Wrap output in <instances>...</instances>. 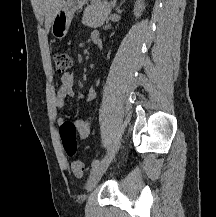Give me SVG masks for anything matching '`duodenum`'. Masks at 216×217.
Returning <instances> with one entry per match:
<instances>
[{"label":"duodenum","instance_id":"410a0bca","mask_svg":"<svg viewBox=\"0 0 216 217\" xmlns=\"http://www.w3.org/2000/svg\"><path fill=\"white\" fill-rule=\"evenodd\" d=\"M99 40H100V37H98V36H94V37H93V41H94L95 43L99 42Z\"/></svg>","mask_w":216,"mask_h":217}]
</instances>
